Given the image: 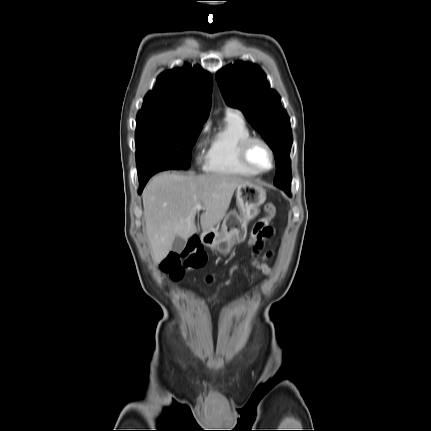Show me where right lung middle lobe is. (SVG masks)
Returning <instances> with one entry per match:
<instances>
[{
  "instance_id": "right-lung-middle-lobe-1",
  "label": "right lung middle lobe",
  "mask_w": 431,
  "mask_h": 431,
  "mask_svg": "<svg viewBox=\"0 0 431 431\" xmlns=\"http://www.w3.org/2000/svg\"><path fill=\"white\" fill-rule=\"evenodd\" d=\"M203 124L169 119L136 120V162L138 174L168 169H187L191 150Z\"/></svg>"
}]
</instances>
